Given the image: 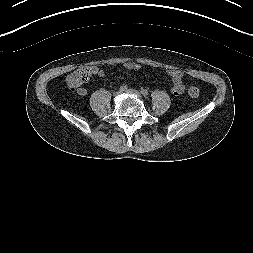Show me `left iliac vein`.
<instances>
[{"mask_svg":"<svg viewBox=\"0 0 253 253\" xmlns=\"http://www.w3.org/2000/svg\"><path fill=\"white\" fill-rule=\"evenodd\" d=\"M128 94H131V95H134V96H137L138 98H141V94L137 91V90H134V89H128L126 91Z\"/></svg>","mask_w":253,"mask_h":253,"instance_id":"left-iliac-vein-1","label":"left iliac vein"}]
</instances>
